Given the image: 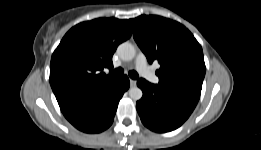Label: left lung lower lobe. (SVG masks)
I'll return each mask as SVG.
<instances>
[{
  "label": "left lung lower lobe",
  "instance_id": "1",
  "mask_svg": "<svg viewBox=\"0 0 261 150\" xmlns=\"http://www.w3.org/2000/svg\"><path fill=\"white\" fill-rule=\"evenodd\" d=\"M143 96L136 103L142 123L155 132H168L181 126L190 116L200 93L182 85L151 84L137 81Z\"/></svg>",
  "mask_w": 261,
  "mask_h": 150
}]
</instances>
